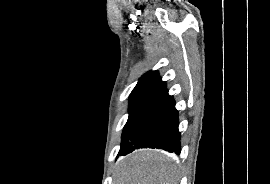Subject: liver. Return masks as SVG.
<instances>
[{
	"label": "liver",
	"instance_id": "liver-1",
	"mask_svg": "<svg viewBox=\"0 0 270 184\" xmlns=\"http://www.w3.org/2000/svg\"><path fill=\"white\" fill-rule=\"evenodd\" d=\"M162 153L141 149L124 157L114 171L113 184H176V173Z\"/></svg>",
	"mask_w": 270,
	"mask_h": 184
}]
</instances>
